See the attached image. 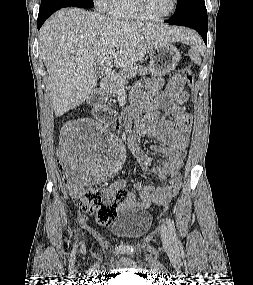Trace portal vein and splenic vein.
I'll return each instance as SVG.
<instances>
[{"label": "portal vein and splenic vein", "instance_id": "1", "mask_svg": "<svg viewBox=\"0 0 253 285\" xmlns=\"http://www.w3.org/2000/svg\"><path fill=\"white\" fill-rule=\"evenodd\" d=\"M112 47H113V48H115V47L118 48V47H120V45L117 44V43H113V44H112Z\"/></svg>", "mask_w": 253, "mask_h": 285}]
</instances>
